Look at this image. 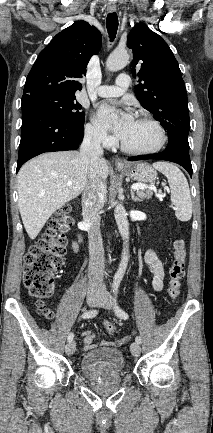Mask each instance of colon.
<instances>
[{
    "label": "colon",
    "mask_w": 213,
    "mask_h": 433,
    "mask_svg": "<svg viewBox=\"0 0 213 433\" xmlns=\"http://www.w3.org/2000/svg\"><path fill=\"white\" fill-rule=\"evenodd\" d=\"M71 207L66 205L54 214L48 228L33 244L24 258V285L29 294L36 298V311L44 318L53 316L46 300L52 296L56 287V274L66 254L65 232L72 223ZM186 246L183 239L173 243L171 264L169 267L168 296L177 300L181 292V284L185 275ZM105 329L114 334L117 327L114 323L105 322Z\"/></svg>",
    "instance_id": "1"
}]
</instances>
